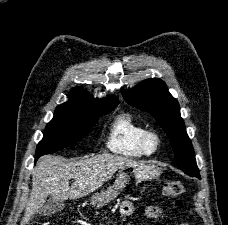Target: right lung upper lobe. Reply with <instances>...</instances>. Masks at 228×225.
I'll use <instances>...</instances> for the list:
<instances>
[{"instance_id": "cb5924a9", "label": "right lung upper lobe", "mask_w": 228, "mask_h": 225, "mask_svg": "<svg viewBox=\"0 0 228 225\" xmlns=\"http://www.w3.org/2000/svg\"><path fill=\"white\" fill-rule=\"evenodd\" d=\"M69 96L71 100L64 104H79V105H87V106H94V107H107V106H113L118 104V98L116 97H110L109 99L94 98L90 96L89 93H87L82 88L73 89L69 93Z\"/></svg>"}]
</instances>
